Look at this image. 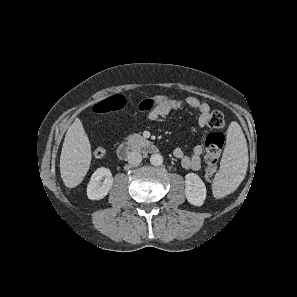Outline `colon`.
I'll return each instance as SVG.
<instances>
[{
    "label": "colon",
    "instance_id": "1",
    "mask_svg": "<svg viewBox=\"0 0 297 297\" xmlns=\"http://www.w3.org/2000/svg\"><path fill=\"white\" fill-rule=\"evenodd\" d=\"M170 98L168 95H158L141 101L138 105L139 112H146L154 105ZM127 104V100L123 95L110 96L97 103L93 111L97 114H106L122 110ZM224 116L220 111L210 113L207 125L213 131L210 132L205 139V178L208 182L214 180L217 168V162L221 155L224 145V135L219 131L224 126ZM106 151L103 147H98L94 151L96 158H101Z\"/></svg>",
    "mask_w": 297,
    "mask_h": 297
}]
</instances>
